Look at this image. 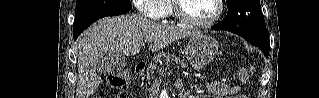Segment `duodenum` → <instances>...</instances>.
<instances>
[{"label":"duodenum","instance_id":"410a0bca","mask_svg":"<svg viewBox=\"0 0 319 98\" xmlns=\"http://www.w3.org/2000/svg\"><path fill=\"white\" fill-rule=\"evenodd\" d=\"M145 68H146V62L137 63L136 66H135V70H134L135 75H137V76L142 75V73L144 72Z\"/></svg>","mask_w":319,"mask_h":98}]
</instances>
